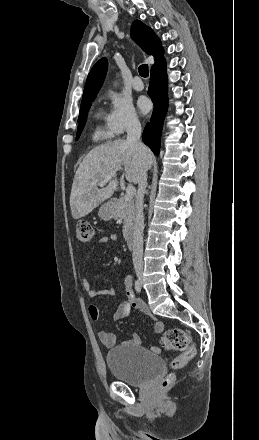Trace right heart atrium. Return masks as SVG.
<instances>
[{
	"label": "right heart atrium",
	"mask_w": 259,
	"mask_h": 440,
	"mask_svg": "<svg viewBox=\"0 0 259 440\" xmlns=\"http://www.w3.org/2000/svg\"><path fill=\"white\" fill-rule=\"evenodd\" d=\"M107 99L110 103V110L105 121L112 135H122L140 125L139 116L129 99L113 92L108 94Z\"/></svg>",
	"instance_id": "right-heart-atrium-1"
}]
</instances>
